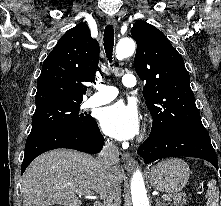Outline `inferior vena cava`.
Segmentation results:
<instances>
[{"instance_id": "602c4592", "label": "inferior vena cava", "mask_w": 221, "mask_h": 206, "mask_svg": "<svg viewBox=\"0 0 221 206\" xmlns=\"http://www.w3.org/2000/svg\"><path fill=\"white\" fill-rule=\"evenodd\" d=\"M98 161L112 178L115 177L119 170V151L111 141H106L98 156ZM103 199L104 206H120L121 187L117 181L114 180L107 186Z\"/></svg>"}]
</instances>
